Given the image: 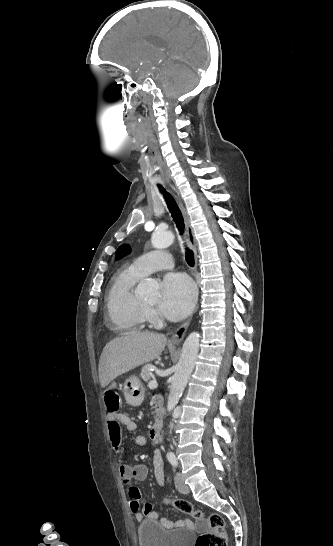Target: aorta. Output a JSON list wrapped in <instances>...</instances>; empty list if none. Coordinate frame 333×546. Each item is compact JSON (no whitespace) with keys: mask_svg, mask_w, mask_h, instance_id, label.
I'll return each mask as SVG.
<instances>
[{"mask_svg":"<svg viewBox=\"0 0 333 546\" xmlns=\"http://www.w3.org/2000/svg\"><path fill=\"white\" fill-rule=\"evenodd\" d=\"M174 241V235L171 231L157 229L151 242L154 248L164 249L169 247ZM149 292L156 295L155 287L151 281L148 282ZM200 335L197 332L191 333L185 340L176 371L172 377L170 393L167 402V411L174 410L179 399L188 383L189 377L194 369L196 358L199 351Z\"/></svg>","mask_w":333,"mask_h":546,"instance_id":"obj_1","label":"aorta"}]
</instances>
